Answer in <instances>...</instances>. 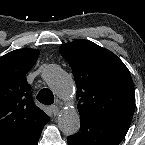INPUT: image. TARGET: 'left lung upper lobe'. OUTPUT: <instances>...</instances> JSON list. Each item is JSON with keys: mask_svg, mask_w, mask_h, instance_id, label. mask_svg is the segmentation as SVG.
<instances>
[{"mask_svg": "<svg viewBox=\"0 0 145 145\" xmlns=\"http://www.w3.org/2000/svg\"><path fill=\"white\" fill-rule=\"evenodd\" d=\"M59 52L72 68L81 118L132 120L133 81L115 54L83 39L62 45Z\"/></svg>", "mask_w": 145, "mask_h": 145, "instance_id": "1", "label": "left lung upper lobe"}]
</instances>
